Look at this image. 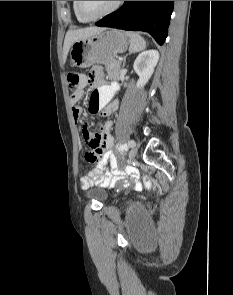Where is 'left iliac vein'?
Wrapping results in <instances>:
<instances>
[{"mask_svg": "<svg viewBox=\"0 0 233 295\" xmlns=\"http://www.w3.org/2000/svg\"><path fill=\"white\" fill-rule=\"evenodd\" d=\"M134 142V146L133 147H130V151H129V157L130 159H134L137 155V149H136V143L134 140H132Z\"/></svg>", "mask_w": 233, "mask_h": 295, "instance_id": "left-iliac-vein-1", "label": "left iliac vein"}]
</instances>
